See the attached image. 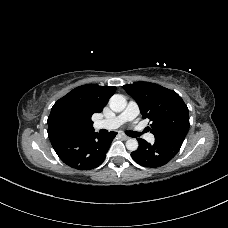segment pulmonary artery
I'll return each instance as SVG.
<instances>
[{
    "instance_id": "1",
    "label": "pulmonary artery",
    "mask_w": 228,
    "mask_h": 228,
    "mask_svg": "<svg viewBox=\"0 0 228 228\" xmlns=\"http://www.w3.org/2000/svg\"><path fill=\"white\" fill-rule=\"evenodd\" d=\"M138 115V104L135 101L130 100L122 113L110 119L98 120L95 122L94 126L96 129H115L125 122L133 121ZM137 130H139V127ZM146 139L150 142H153L154 136L152 134H148Z\"/></svg>"
}]
</instances>
